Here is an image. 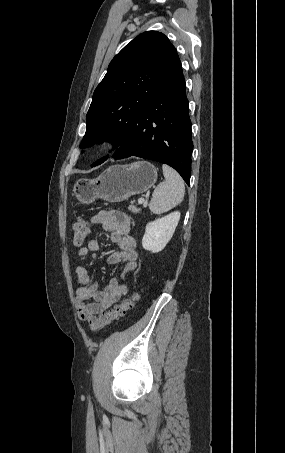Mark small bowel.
<instances>
[{
  "label": "small bowel",
  "instance_id": "1",
  "mask_svg": "<svg viewBox=\"0 0 285 453\" xmlns=\"http://www.w3.org/2000/svg\"><path fill=\"white\" fill-rule=\"evenodd\" d=\"M91 223L110 234L112 243L119 247V250L109 254V264L123 263L120 274L117 278L110 279L108 285L102 290H97V285L92 281L87 268L78 265L75 268L77 289H76V310L81 320H87L99 313H102L122 296L128 292L126 281L128 276L137 268L138 252L136 240L131 233V222L129 217L121 211H101L91 218ZM99 241L95 238L89 239L87 245L80 248V257H87L90 253L98 251Z\"/></svg>",
  "mask_w": 285,
  "mask_h": 453
}]
</instances>
